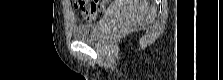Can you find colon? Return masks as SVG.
Here are the masks:
<instances>
[{"instance_id": "obj_1", "label": "colon", "mask_w": 223, "mask_h": 80, "mask_svg": "<svg viewBox=\"0 0 223 80\" xmlns=\"http://www.w3.org/2000/svg\"><path fill=\"white\" fill-rule=\"evenodd\" d=\"M103 1H77L75 3L76 9L80 12L81 16L87 18L93 15L101 6Z\"/></svg>"}]
</instances>
